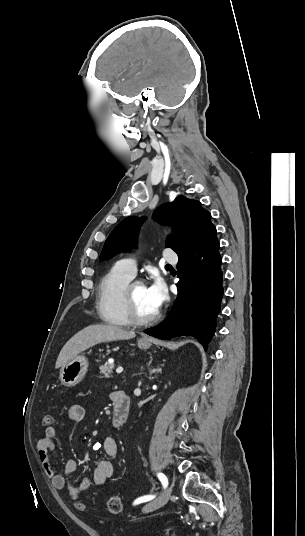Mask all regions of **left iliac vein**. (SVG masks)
I'll list each match as a JSON object with an SVG mask.
<instances>
[{"mask_svg":"<svg viewBox=\"0 0 305 536\" xmlns=\"http://www.w3.org/2000/svg\"><path fill=\"white\" fill-rule=\"evenodd\" d=\"M171 495H172V488L171 487L166 488L163 494L159 498L146 504L143 507L142 511L149 512L151 510H154L163 506L171 498Z\"/></svg>","mask_w":305,"mask_h":536,"instance_id":"obj_1","label":"left iliac vein"}]
</instances>
